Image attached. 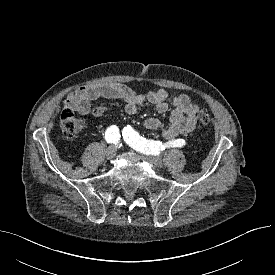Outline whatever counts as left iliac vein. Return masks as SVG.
<instances>
[{"label":"left iliac vein","mask_w":275,"mask_h":275,"mask_svg":"<svg viewBox=\"0 0 275 275\" xmlns=\"http://www.w3.org/2000/svg\"><path fill=\"white\" fill-rule=\"evenodd\" d=\"M148 159L156 167H162V165H163L161 158L158 156L149 155Z\"/></svg>","instance_id":"1"}]
</instances>
